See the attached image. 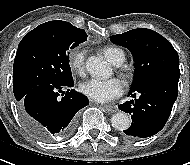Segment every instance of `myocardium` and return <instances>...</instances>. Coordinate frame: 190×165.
<instances>
[{
  "label": "myocardium",
  "mask_w": 190,
  "mask_h": 165,
  "mask_svg": "<svg viewBox=\"0 0 190 165\" xmlns=\"http://www.w3.org/2000/svg\"><path fill=\"white\" fill-rule=\"evenodd\" d=\"M121 75L123 76V78L129 79L131 76V73L129 70L123 69V70H121Z\"/></svg>",
  "instance_id": "1"
}]
</instances>
